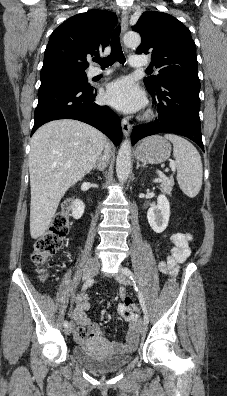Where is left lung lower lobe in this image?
Here are the masks:
<instances>
[{"label": "left lung lower lobe", "mask_w": 227, "mask_h": 396, "mask_svg": "<svg viewBox=\"0 0 227 396\" xmlns=\"http://www.w3.org/2000/svg\"><path fill=\"white\" fill-rule=\"evenodd\" d=\"M148 91L157 105L158 117L133 128L132 144L146 136L165 132L188 137L204 151L199 118L200 82L169 80Z\"/></svg>", "instance_id": "left-lung-lower-lobe-1"}]
</instances>
